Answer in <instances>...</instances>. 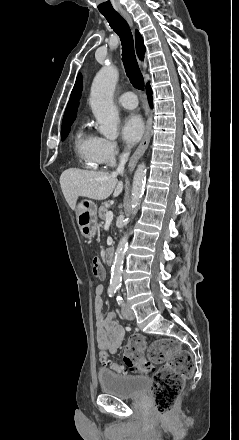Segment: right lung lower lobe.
<instances>
[{"mask_svg": "<svg viewBox=\"0 0 239 440\" xmlns=\"http://www.w3.org/2000/svg\"><path fill=\"white\" fill-rule=\"evenodd\" d=\"M146 89H147V94H148V98H149V103L152 106V90H151L149 82L146 85Z\"/></svg>", "mask_w": 239, "mask_h": 440, "instance_id": "right-lung-lower-lobe-1", "label": "right lung lower lobe"}]
</instances>
